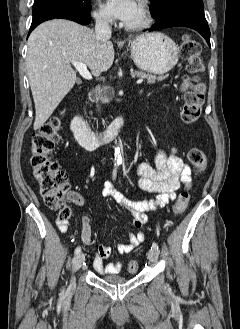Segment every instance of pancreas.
I'll return each instance as SVG.
<instances>
[{"label": "pancreas", "instance_id": "cf45deb5", "mask_svg": "<svg viewBox=\"0 0 240 329\" xmlns=\"http://www.w3.org/2000/svg\"><path fill=\"white\" fill-rule=\"evenodd\" d=\"M133 76H136V77H139V78H144V79L147 80V83H150V84H153L156 81H162L167 77L166 75L155 76V75H152V74H146V73L141 72V71L134 72ZM105 101H107V100L105 99Z\"/></svg>", "mask_w": 240, "mask_h": 329}]
</instances>
